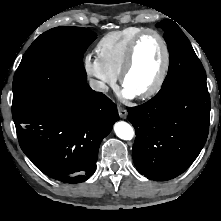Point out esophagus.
Instances as JSON below:
<instances>
[{
  "label": "esophagus",
  "instance_id": "obj_1",
  "mask_svg": "<svg viewBox=\"0 0 221 221\" xmlns=\"http://www.w3.org/2000/svg\"><path fill=\"white\" fill-rule=\"evenodd\" d=\"M118 111H119V116L122 118V119H125L127 117V110L122 108V107H119L118 108Z\"/></svg>",
  "mask_w": 221,
  "mask_h": 221
}]
</instances>
